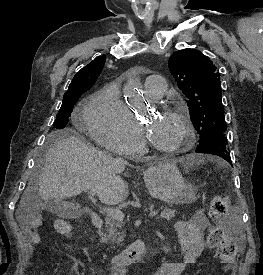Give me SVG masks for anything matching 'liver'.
<instances>
[{"mask_svg":"<svg viewBox=\"0 0 263 275\" xmlns=\"http://www.w3.org/2000/svg\"><path fill=\"white\" fill-rule=\"evenodd\" d=\"M50 142L39 174L38 194L33 195L30 186L25 190L16 213L19 222L25 210H39L41 200L70 198L86 190H93L107 205L127 198L128 188L119 175L125 169L124 160L96 150L72 130L56 132ZM177 161L193 163L195 159L189 155Z\"/></svg>","mask_w":263,"mask_h":275,"instance_id":"liver-1","label":"liver"}]
</instances>
